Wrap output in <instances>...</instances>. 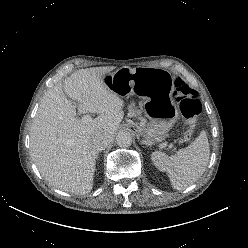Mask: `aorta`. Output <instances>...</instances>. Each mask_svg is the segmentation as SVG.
Segmentation results:
<instances>
[{
  "label": "aorta",
  "mask_w": 248,
  "mask_h": 248,
  "mask_svg": "<svg viewBox=\"0 0 248 248\" xmlns=\"http://www.w3.org/2000/svg\"><path fill=\"white\" fill-rule=\"evenodd\" d=\"M116 143L119 147H129L132 144V135L126 131H120L116 136Z\"/></svg>",
  "instance_id": "1"
}]
</instances>
